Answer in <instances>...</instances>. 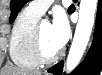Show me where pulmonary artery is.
<instances>
[{"label": "pulmonary artery", "mask_w": 102, "mask_h": 75, "mask_svg": "<svg viewBox=\"0 0 102 75\" xmlns=\"http://www.w3.org/2000/svg\"><path fill=\"white\" fill-rule=\"evenodd\" d=\"M53 2V0L31 1L28 7L35 13L43 15Z\"/></svg>", "instance_id": "pulmonary-artery-1"}]
</instances>
